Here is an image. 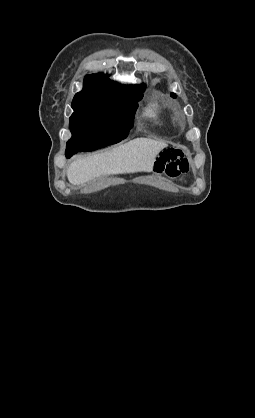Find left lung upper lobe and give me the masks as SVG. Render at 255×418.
I'll list each match as a JSON object with an SVG mask.
<instances>
[{
  "label": "left lung upper lobe",
  "mask_w": 255,
  "mask_h": 418,
  "mask_svg": "<svg viewBox=\"0 0 255 418\" xmlns=\"http://www.w3.org/2000/svg\"><path fill=\"white\" fill-rule=\"evenodd\" d=\"M171 96H172V97H176V95H175V94H173V93L171 94Z\"/></svg>",
  "instance_id": "1"
}]
</instances>
